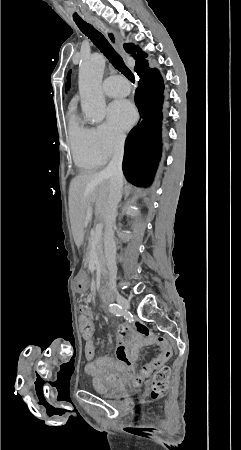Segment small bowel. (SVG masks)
<instances>
[{
  "label": "small bowel",
  "mask_w": 241,
  "mask_h": 450,
  "mask_svg": "<svg viewBox=\"0 0 241 450\" xmlns=\"http://www.w3.org/2000/svg\"><path fill=\"white\" fill-rule=\"evenodd\" d=\"M77 289L84 291L86 284L79 282ZM81 313L80 326L83 324L82 318L84 316H89L91 318L90 324H93V313L87 306L81 307ZM84 334L82 333V335ZM92 334L94 335V333ZM117 334L119 343L116 349V360L107 356L95 358L94 340L92 342L84 341V354L89 361L86 372L92 377L94 387L98 390L117 385H126L133 389L139 388L145 379L165 363L171 355L167 342L163 338H159L157 343L162 353L152 362L144 365L137 374L134 363L140 348L148 343L146 337L151 335V331L145 324L137 322L133 327L120 325Z\"/></svg>",
  "instance_id": "c3829d8e"
}]
</instances>
